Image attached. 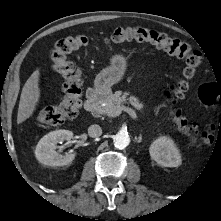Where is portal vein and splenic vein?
<instances>
[{
	"label": "portal vein and splenic vein",
	"mask_w": 221,
	"mask_h": 221,
	"mask_svg": "<svg viewBox=\"0 0 221 221\" xmlns=\"http://www.w3.org/2000/svg\"><path fill=\"white\" fill-rule=\"evenodd\" d=\"M122 111L127 112L133 119H137L136 112L132 108H129L126 106H118V107L114 108L113 110H111L108 113V116L109 117L119 116L122 113Z\"/></svg>",
	"instance_id": "1"
}]
</instances>
